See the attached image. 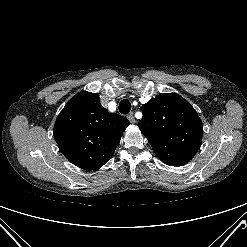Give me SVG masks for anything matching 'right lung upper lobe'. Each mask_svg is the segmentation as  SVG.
Instances as JSON below:
<instances>
[{
  "label": "right lung upper lobe",
  "instance_id": "right-lung-upper-lobe-1",
  "mask_svg": "<svg viewBox=\"0 0 247 247\" xmlns=\"http://www.w3.org/2000/svg\"><path fill=\"white\" fill-rule=\"evenodd\" d=\"M129 124L125 117L109 113L96 93L81 91L58 115L54 138L71 163L97 170L112 157Z\"/></svg>",
  "mask_w": 247,
  "mask_h": 247
}]
</instances>
